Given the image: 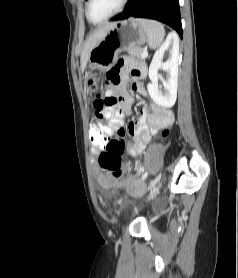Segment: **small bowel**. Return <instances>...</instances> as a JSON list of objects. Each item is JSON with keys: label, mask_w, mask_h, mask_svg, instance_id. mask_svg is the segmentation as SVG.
Returning a JSON list of instances; mask_svg holds the SVG:
<instances>
[{"label": "small bowel", "mask_w": 238, "mask_h": 278, "mask_svg": "<svg viewBox=\"0 0 238 278\" xmlns=\"http://www.w3.org/2000/svg\"><path fill=\"white\" fill-rule=\"evenodd\" d=\"M125 68L131 71L135 79L132 84V90L142 96L147 94L146 88L139 81V79L146 74V65L129 60L128 55H117V59H113V64L107 67L105 75L107 76V81H110V85H114V89H119L120 93H115V98H118V102H120V118L131 114V106L133 103L132 96L125 90L128 80L127 75L122 74ZM172 121L173 113L170 110L151 105L150 108H143L140 111L138 120L135 123H130L128 127H122V122L119 121V127H116V132L110 135L108 142L109 144H121L122 142H125V144L130 143L127 145V149H124V153L127 151L130 156H137L144 152L152 135L156 133L159 128L171 124ZM95 124H101V121L97 119V123ZM127 130L132 138H124V132H127ZM91 136L93 137L94 135ZM102 183L106 186L116 184L109 172L102 178Z\"/></svg>", "instance_id": "c3829d8e"}]
</instances>
